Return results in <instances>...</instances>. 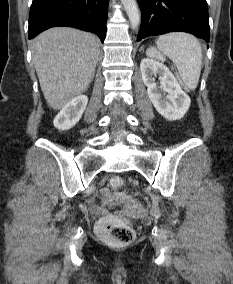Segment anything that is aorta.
Returning <instances> with one entry per match:
<instances>
[{"instance_id":"762f6f07","label":"aorta","mask_w":233,"mask_h":284,"mask_svg":"<svg viewBox=\"0 0 233 284\" xmlns=\"http://www.w3.org/2000/svg\"><path fill=\"white\" fill-rule=\"evenodd\" d=\"M122 5L127 13L132 27L135 29L140 24V14L136 0H121Z\"/></svg>"}]
</instances>
